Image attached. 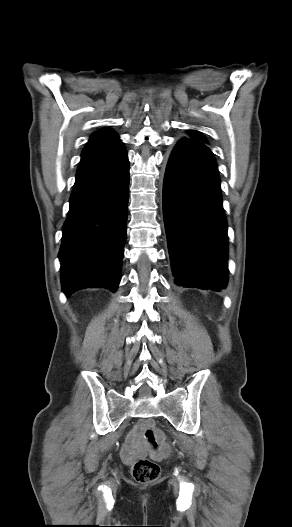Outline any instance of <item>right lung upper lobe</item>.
<instances>
[{
  "instance_id": "obj_1",
  "label": "right lung upper lobe",
  "mask_w": 292,
  "mask_h": 527,
  "mask_svg": "<svg viewBox=\"0 0 292 527\" xmlns=\"http://www.w3.org/2000/svg\"><path fill=\"white\" fill-rule=\"evenodd\" d=\"M118 140L119 138L116 133L108 129H103L101 131L94 133L90 137L88 144L111 143V142H115Z\"/></svg>"
}]
</instances>
